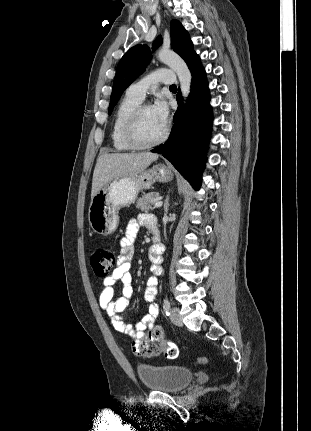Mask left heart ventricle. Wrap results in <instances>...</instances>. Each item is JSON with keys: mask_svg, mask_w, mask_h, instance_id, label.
<instances>
[{"mask_svg": "<svg viewBox=\"0 0 311 431\" xmlns=\"http://www.w3.org/2000/svg\"><path fill=\"white\" fill-rule=\"evenodd\" d=\"M141 135L147 141L159 138L165 130L154 116L151 107H146L141 121Z\"/></svg>", "mask_w": 311, "mask_h": 431, "instance_id": "left-heart-ventricle-1", "label": "left heart ventricle"}]
</instances>
